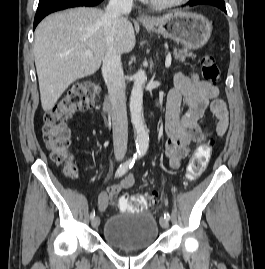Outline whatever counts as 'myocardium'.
<instances>
[{"label": "myocardium", "instance_id": "1", "mask_svg": "<svg viewBox=\"0 0 265 269\" xmlns=\"http://www.w3.org/2000/svg\"><path fill=\"white\" fill-rule=\"evenodd\" d=\"M149 5L155 8H172L181 6L187 3L189 0H144Z\"/></svg>", "mask_w": 265, "mask_h": 269}]
</instances>
